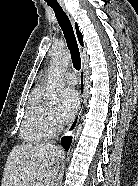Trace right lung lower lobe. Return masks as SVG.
Masks as SVG:
<instances>
[{"instance_id":"obj_1","label":"right lung lower lobe","mask_w":138,"mask_h":186,"mask_svg":"<svg viewBox=\"0 0 138 186\" xmlns=\"http://www.w3.org/2000/svg\"><path fill=\"white\" fill-rule=\"evenodd\" d=\"M71 140H72L71 137H64L61 140V144H62V146L64 147L65 150H68V148H69V146L71 144Z\"/></svg>"}]
</instances>
